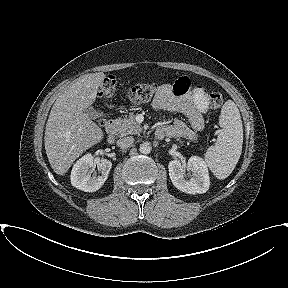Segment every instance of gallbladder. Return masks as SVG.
Listing matches in <instances>:
<instances>
[{"label": "gallbladder", "mask_w": 288, "mask_h": 288, "mask_svg": "<svg viewBox=\"0 0 288 288\" xmlns=\"http://www.w3.org/2000/svg\"><path fill=\"white\" fill-rule=\"evenodd\" d=\"M85 114L91 118V119H97L98 118V112L91 106H89L88 108H86L84 110Z\"/></svg>", "instance_id": "bac80fb5"}]
</instances>
